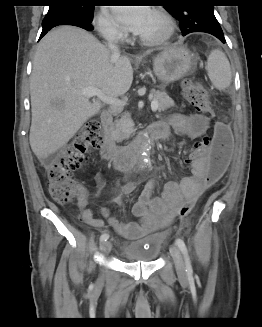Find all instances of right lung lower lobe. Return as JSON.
<instances>
[{"instance_id": "right-lung-lower-lobe-1", "label": "right lung lower lobe", "mask_w": 262, "mask_h": 327, "mask_svg": "<svg viewBox=\"0 0 262 327\" xmlns=\"http://www.w3.org/2000/svg\"><path fill=\"white\" fill-rule=\"evenodd\" d=\"M91 22L92 19H86L74 14L51 15L49 17H45L42 22L43 29L39 39H41L50 29L59 25H73L91 31L93 30Z\"/></svg>"}]
</instances>
